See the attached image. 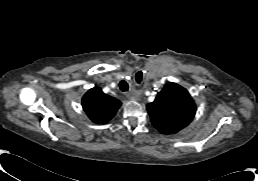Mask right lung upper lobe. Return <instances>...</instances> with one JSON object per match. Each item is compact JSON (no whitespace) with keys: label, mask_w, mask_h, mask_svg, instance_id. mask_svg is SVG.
I'll list each match as a JSON object with an SVG mask.
<instances>
[{"label":"right lung upper lobe","mask_w":258,"mask_h":181,"mask_svg":"<svg viewBox=\"0 0 258 181\" xmlns=\"http://www.w3.org/2000/svg\"><path fill=\"white\" fill-rule=\"evenodd\" d=\"M121 102L102 92L99 87L87 91L82 99V107L88 117L95 123H105L112 119Z\"/></svg>","instance_id":"obj_1"}]
</instances>
